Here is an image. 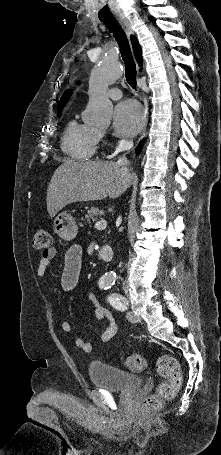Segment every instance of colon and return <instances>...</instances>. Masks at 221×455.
Wrapping results in <instances>:
<instances>
[{
    "label": "colon",
    "instance_id": "obj_1",
    "mask_svg": "<svg viewBox=\"0 0 221 455\" xmlns=\"http://www.w3.org/2000/svg\"><path fill=\"white\" fill-rule=\"evenodd\" d=\"M51 244L50 231L45 227H38L33 236V246L36 249L48 250ZM125 366L131 372H142L147 367V361L142 355L132 354L125 359ZM157 372L164 380L159 383L156 392L144 400L145 410L153 411L161 408L164 402L174 397L182 384L179 363L172 355H162L158 358Z\"/></svg>",
    "mask_w": 221,
    "mask_h": 455
}]
</instances>
